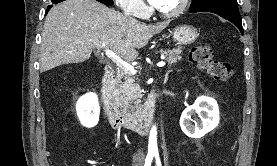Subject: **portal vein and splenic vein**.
Listing matches in <instances>:
<instances>
[{
  "label": "portal vein and splenic vein",
  "mask_w": 277,
  "mask_h": 166,
  "mask_svg": "<svg viewBox=\"0 0 277 166\" xmlns=\"http://www.w3.org/2000/svg\"><path fill=\"white\" fill-rule=\"evenodd\" d=\"M105 55L111 59L114 63L117 64V66L121 67L122 69L130 71L132 74L136 73V70L133 66H131L126 61L122 60L116 53L111 51L110 49H105ZM166 63L164 61H161L157 64L158 67H163Z\"/></svg>",
  "instance_id": "obj_1"
}]
</instances>
